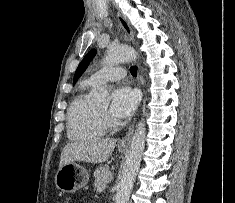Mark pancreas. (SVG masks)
<instances>
[{"mask_svg": "<svg viewBox=\"0 0 235 203\" xmlns=\"http://www.w3.org/2000/svg\"><path fill=\"white\" fill-rule=\"evenodd\" d=\"M95 177V188L105 186L112 179V173L108 168L101 167L97 168L94 172Z\"/></svg>", "mask_w": 235, "mask_h": 203, "instance_id": "pancreas-1", "label": "pancreas"}]
</instances>
